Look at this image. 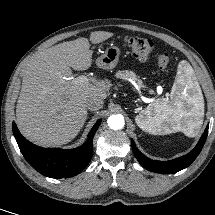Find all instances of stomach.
I'll list each match as a JSON object with an SVG mask.
<instances>
[{
  "instance_id": "1",
  "label": "stomach",
  "mask_w": 215,
  "mask_h": 215,
  "mask_svg": "<svg viewBox=\"0 0 215 215\" xmlns=\"http://www.w3.org/2000/svg\"><path fill=\"white\" fill-rule=\"evenodd\" d=\"M119 56H120V49L116 46H109L106 48L103 54L97 58L96 64L99 68H102V69H107V70L113 69L119 61ZM137 125L142 130H144L141 123H137Z\"/></svg>"
}]
</instances>
